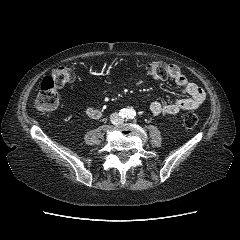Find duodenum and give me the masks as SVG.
Masks as SVG:
<instances>
[{"mask_svg": "<svg viewBox=\"0 0 240 240\" xmlns=\"http://www.w3.org/2000/svg\"><path fill=\"white\" fill-rule=\"evenodd\" d=\"M87 113L91 117H98L100 115V112L97 109H94V108H89L87 110Z\"/></svg>", "mask_w": 240, "mask_h": 240, "instance_id": "1", "label": "duodenum"}]
</instances>
